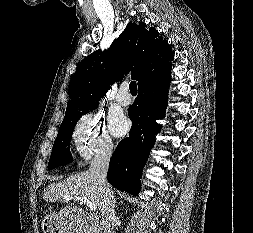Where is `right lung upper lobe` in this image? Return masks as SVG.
<instances>
[{"label":"right lung upper lobe","instance_id":"obj_1","mask_svg":"<svg viewBox=\"0 0 253 233\" xmlns=\"http://www.w3.org/2000/svg\"><path fill=\"white\" fill-rule=\"evenodd\" d=\"M174 55L169 44L144 22H129L108 50H97L85 57L69 83L70 100L65 117L69 118L98 103L110 85L131 72L138 87L149 78L171 68Z\"/></svg>","mask_w":253,"mask_h":233}]
</instances>
